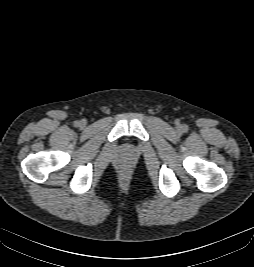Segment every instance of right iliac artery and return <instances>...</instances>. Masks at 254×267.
Instances as JSON below:
<instances>
[{"instance_id": "1", "label": "right iliac artery", "mask_w": 254, "mask_h": 267, "mask_svg": "<svg viewBox=\"0 0 254 267\" xmlns=\"http://www.w3.org/2000/svg\"><path fill=\"white\" fill-rule=\"evenodd\" d=\"M74 125L77 127V126L80 125V122H79V121H75V122H74Z\"/></svg>"}]
</instances>
